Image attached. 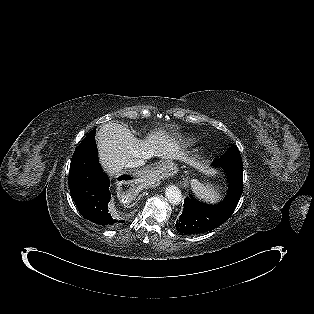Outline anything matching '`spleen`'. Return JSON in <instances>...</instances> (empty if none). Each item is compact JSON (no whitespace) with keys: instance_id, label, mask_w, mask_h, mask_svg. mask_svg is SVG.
Segmentation results:
<instances>
[{"instance_id":"obj_1","label":"spleen","mask_w":314,"mask_h":314,"mask_svg":"<svg viewBox=\"0 0 314 314\" xmlns=\"http://www.w3.org/2000/svg\"><path fill=\"white\" fill-rule=\"evenodd\" d=\"M191 187L195 195L199 199H203L206 202H215L219 200L220 194L215 191L214 187L210 184H204L198 180H192Z\"/></svg>"}]
</instances>
